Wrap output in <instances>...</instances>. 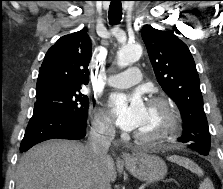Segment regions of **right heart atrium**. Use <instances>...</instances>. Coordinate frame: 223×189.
<instances>
[{"label": "right heart atrium", "instance_id": "1", "mask_svg": "<svg viewBox=\"0 0 223 189\" xmlns=\"http://www.w3.org/2000/svg\"><path fill=\"white\" fill-rule=\"evenodd\" d=\"M93 129L100 135L111 136L114 127L110 119L100 110H97L92 119Z\"/></svg>", "mask_w": 223, "mask_h": 189}]
</instances>
